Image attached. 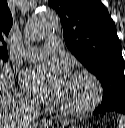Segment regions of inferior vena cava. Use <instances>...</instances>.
<instances>
[{
	"label": "inferior vena cava",
	"instance_id": "inferior-vena-cava-1",
	"mask_svg": "<svg viewBox=\"0 0 125 128\" xmlns=\"http://www.w3.org/2000/svg\"><path fill=\"white\" fill-rule=\"evenodd\" d=\"M39 104L36 102H26L20 110V117L22 120L20 128L31 127V123L35 120Z\"/></svg>",
	"mask_w": 125,
	"mask_h": 128
}]
</instances>
